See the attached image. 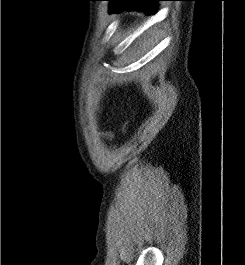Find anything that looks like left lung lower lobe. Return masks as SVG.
<instances>
[{
	"label": "left lung lower lobe",
	"instance_id": "obj_1",
	"mask_svg": "<svg viewBox=\"0 0 245 265\" xmlns=\"http://www.w3.org/2000/svg\"><path fill=\"white\" fill-rule=\"evenodd\" d=\"M111 2V12H120L124 9H137L149 14L156 13V3L166 0H108Z\"/></svg>",
	"mask_w": 245,
	"mask_h": 265
}]
</instances>
